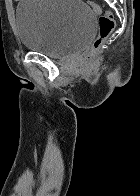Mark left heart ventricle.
I'll list each match as a JSON object with an SVG mask.
<instances>
[{"mask_svg": "<svg viewBox=\"0 0 140 196\" xmlns=\"http://www.w3.org/2000/svg\"><path fill=\"white\" fill-rule=\"evenodd\" d=\"M44 192H54V191H44Z\"/></svg>", "mask_w": 140, "mask_h": 196, "instance_id": "b2bd125f", "label": "left heart ventricle"}]
</instances>
